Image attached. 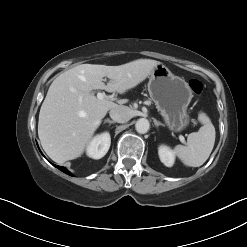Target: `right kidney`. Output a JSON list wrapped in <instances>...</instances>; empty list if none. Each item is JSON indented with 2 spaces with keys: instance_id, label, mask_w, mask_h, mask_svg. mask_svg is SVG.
<instances>
[{
  "instance_id": "obj_1",
  "label": "right kidney",
  "mask_w": 247,
  "mask_h": 247,
  "mask_svg": "<svg viewBox=\"0 0 247 247\" xmlns=\"http://www.w3.org/2000/svg\"><path fill=\"white\" fill-rule=\"evenodd\" d=\"M110 144L111 138L108 132L98 134L88 144L86 153L93 159H100L108 152Z\"/></svg>"
}]
</instances>
